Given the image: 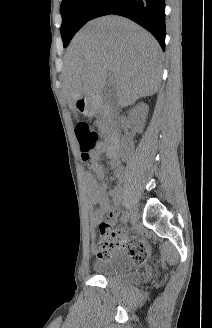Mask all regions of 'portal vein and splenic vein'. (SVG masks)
<instances>
[{"mask_svg":"<svg viewBox=\"0 0 212 328\" xmlns=\"http://www.w3.org/2000/svg\"><path fill=\"white\" fill-rule=\"evenodd\" d=\"M113 78V74L111 75V79Z\"/></svg>","mask_w":212,"mask_h":328,"instance_id":"18ae733b","label":"portal vein and splenic vein"}]
</instances>
